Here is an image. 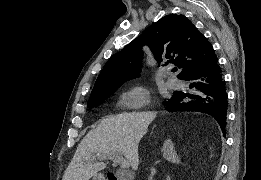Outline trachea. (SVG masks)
<instances>
[{"mask_svg":"<svg viewBox=\"0 0 261 180\" xmlns=\"http://www.w3.org/2000/svg\"><path fill=\"white\" fill-rule=\"evenodd\" d=\"M177 69L176 68H173V71H176Z\"/></svg>","mask_w":261,"mask_h":180,"instance_id":"trachea-1","label":"trachea"}]
</instances>
